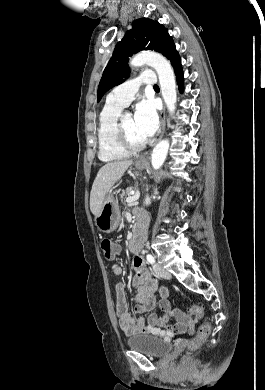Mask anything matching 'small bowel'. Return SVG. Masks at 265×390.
<instances>
[{"instance_id":"c3829d8e","label":"small bowel","mask_w":265,"mask_h":390,"mask_svg":"<svg viewBox=\"0 0 265 390\" xmlns=\"http://www.w3.org/2000/svg\"><path fill=\"white\" fill-rule=\"evenodd\" d=\"M138 216H144L142 212H136ZM121 251L119 245H115V253ZM134 277L132 285L136 288V306L135 312L139 315L150 313L156 306L155 294L158 291L160 295L159 307L161 314L151 313L147 322L143 317L134 318L128 310L125 286L122 282L116 284V316L121 330L127 335L134 334H154L164 335L167 332L182 334L193 332L195 322L178 308H172L169 301V290L165 286L158 287L157 281L146 269L143 256L137 254L133 258ZM111 271L114 275H121L123 268L120 264H113ZM176 323L171 325V321Z\"/></svg>"}]
</instances>
